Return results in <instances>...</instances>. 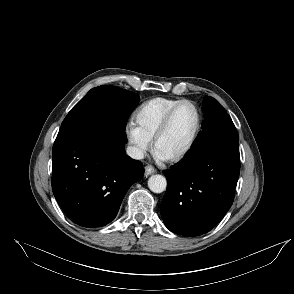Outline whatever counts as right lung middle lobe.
I'll use <instances>...</instances> for the list:
<instances>
[{"label": "right lung middle lobe", "mask_w": 294, "mask_h": 294, "mask_svg": "<svg viewBox=\"0 0 294 294\" xmlns=\"http://www.w3.org/2000/svg\"><path fill=\"white\" fill-rule=\"evenodd\" d=\"M98 89L105 90L112 101L99 102L94 97ZM138 101V94L118 87L102 85L93 88L68 113L57 137L112 127L125 129L129 113Z\"/></svg>", "instance_id": "dd1d6c3e"}]
</instances>
